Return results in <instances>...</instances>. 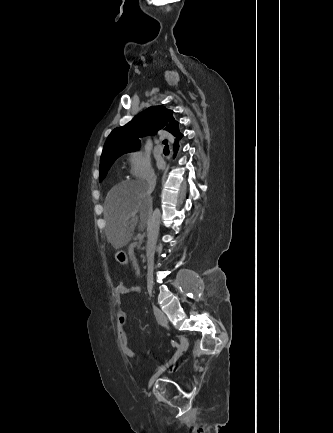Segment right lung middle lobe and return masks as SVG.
<instances>
[{"mask_svg": "<svg viewBox=\"0 0 333 433\" xmlns=\"http://www.w3.org/2000/svg\"><path fill=\"white\" fill-rule=\"evenodd\" d=\"M121 155H123V154L112 155V156H109L108 158H106L104 160H101V163H100V181H102L105 178L111 165Z\"/></svg>", "mask_w": 333, "mask_h": 433, "instance_id": "right-lung-middle-lobe-1", "label": "right lung middle lobe"}]
</instances>
